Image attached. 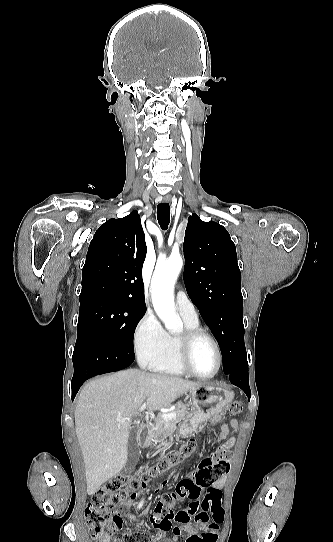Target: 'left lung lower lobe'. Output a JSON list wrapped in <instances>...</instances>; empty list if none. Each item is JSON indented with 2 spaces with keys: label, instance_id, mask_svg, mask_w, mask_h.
<instances>
[{
  "label": "left lung lower lobe",
  "instance_id": "1",
  "mask_svg": "<svg viewBox=\"0 0 333 542\" xmlns=\"http://www.w3.org/2000/svg\"><path fill=\"white\" fill-rule=\"evenodd\" d=\"M226 375L228 376L230 382L241 388L247 395L248 399H250L251 391L249 387L247 359L231 369V371Z\"/></svg>",
  "mask_w": 333,
  "mask_h": 542
}]
</instances>
